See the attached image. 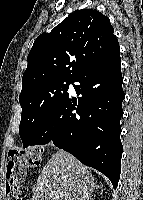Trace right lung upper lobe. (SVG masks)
<instances>
[{
    "instance_id": "right-lung-upper-lobe-1",
    "label": "right lung upper lobe",
    "mask_w": 143,
    "mask_h": 200,
    "mask_svg": "<svg viewBox=\"0 0 143 200\" xmlns=\"http://www.w3.org/2000/svg\"><path fill=\"white\" fill-rule=\"evenodd\" d=\"M118 47L108 17L94 9L77 10L34 41L22 77V90L50 80H73Z\"/></svg>"
}]
</instances>
